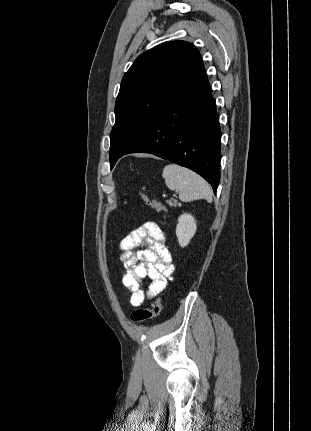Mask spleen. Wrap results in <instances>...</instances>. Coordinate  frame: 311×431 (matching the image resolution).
<instances>
[{"mask_svg": "<svg viewBox=\"0 0 311 431\" xmlns=\"http://www.w3.org/2000/svg\"><path fill=\"white\" fill-rule=\"evenodd\" d=\"M165 184L169 190H177L181 202H192V200H207L212 202V190L198 174L181 168L176 164L165 166L162 174Z\"/></svg>", "mask_w": 311, "mask_h": 431, "instance_id": "spleen-1", "label": "spleen"}]
</instances>
